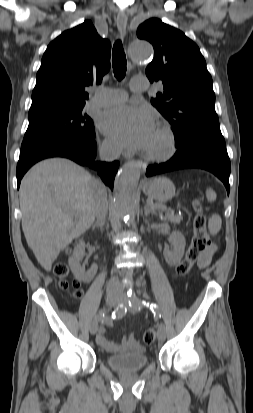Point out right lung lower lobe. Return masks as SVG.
Returning <instances> with one entry per match:
<instances>
[{
	"mask_svg": "<svg viewBox=\"0 0 253 413\" xmlns=\"http://www.w3.org/2000/svg\"><path fill=\"white\" fill-rule=\"evenodd\" d=\"M94 138L95 133L92 138L53 141L21 150L17 164L18 188L26 171L36 162L50 157H65L80 165L97 169L104 183L113 189L119 163L118 161L112 163L94 162L97 148Z\"/></svg>",
	"mask_w": 253,
	"mask_h": 413,
	"instance_id": "1",
	"label": "right lung lower lobe"
}]
</instances>
